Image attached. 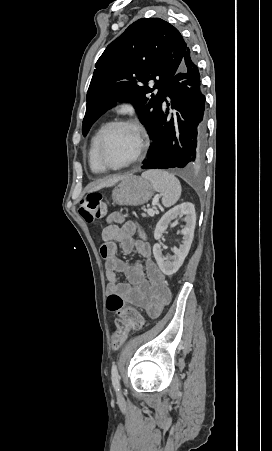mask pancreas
<instances>
[{"label":"pancreas","mask_w":272,"mask_h":451,"mask_svg":"<svg viewBox=\"0 0 272 451\" xmlns=\"http://www.w3.org/2000/svg\"><path fill=\"white\" fill-rule=\"evenodd\" d=\"M143 218H147V214H142Z\"/></svg>","instance_id":"obj_1"}]
</instances>
